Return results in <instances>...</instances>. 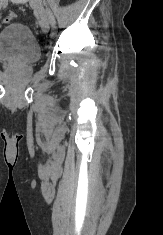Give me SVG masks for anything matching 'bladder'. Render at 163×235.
Segmentation results:
<instances>
[{
    "label": "bladder",
    "instance_id": "bladder-1",
    "mask_svg": "<svg viewBox=\"0 0 163 235\" xmlns=\"http://www.w3.org/2000/svg\"><path fill=\"white\" fill-rule=\"evenodd\" d=\"M40 58V46L26 24L10 23L0 29V61L15 65H32Z\"/></svg>",
    "mask_w": 163,
    "mask_h": 235
}]
</instances>
